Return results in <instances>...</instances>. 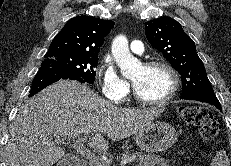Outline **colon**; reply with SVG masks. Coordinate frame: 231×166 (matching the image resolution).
<instances>
[{
	"label": "colon",
	"mask_w": 231,
	"mask_h": 166,
	"mask_svg": "<svg viewBox=\"0 0 231 166\" xmlns=\"http://www.w3.org/2000/svg\"><path fill=\"white\" fill-rule=\"evenodd\" d=\"M178 117L187 125L198 129L205 143L212 142L218 133V125L208 108L198 105H182L177 109ZM58 166H62L58 165Z\"/></svg>",
	"instance_id": "1"
}]
</instances>
